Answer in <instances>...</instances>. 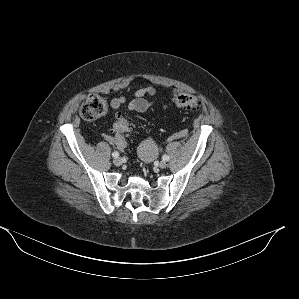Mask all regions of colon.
Here are the masks:
<instances>
[{"label": "colon", "mask_w": 299, "mask_h": 299, "mask_svg": "<svg viewBox=\"0 0 299 299\" xmlns=\"http://www.w3.org/2000/svg\"><path fill=\"white\" fill-rule=\"evenodd\" d=\"M174 104L178 108L198 111L203 107L202 100L192 94L175 93L172 96ZM107 111L106 100L96 94L88 95L82 102L80 107L81 116L88 121L96 120L103 116ZM131 120L125 116H119L114 122L112 132L114 134L117 146L121 149H126V135L132 130Z\"/></svg>", "instance_id": "obj_1"}]
</instances>
